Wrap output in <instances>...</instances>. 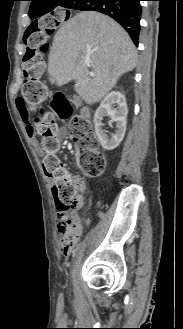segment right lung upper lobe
Returning <instances> with one entry per match:
<instances>
[{
    "label": "right lung upper lobe",
    "instance_id": "right-lung-upper-lobe-1",
    "mask_svg": "<svg viewBox=\"0 0 183 329\" xmlns=\"http://www.w3.org/2000/svg\"><path fill=\"white\" fill-rule=\"evenodd\" d=\"M30 1H32V3L29 9V16L32 20H34L46 13L53 14V10L56 7L67 8L69 2L73 0H30ZM36 21L37 20H35L34 22Z\"/></svg>",
    "mask_w": 183,
    "mask_h": 329
}]
</instances>
